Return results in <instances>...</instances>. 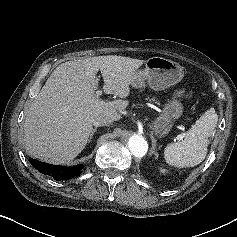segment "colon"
I'll use <instances>...</instances> for the list:
<instances>
[{
  "label": "colon",
  "instance_id": "obj_1",
  "mask_svg": "<svg viewBox=\"0 0 237 237\" xmlns=\"http://www.w3.org/2000/svg\"><path fill=\"white\" fill-rule=\"evenodd\" d=\"M192 98H193V94L191 92L186 95V100L187 101H191Z\"/></svg>",
  "mask_w": 237,
  "mask_h": 237
}]
</instances>
